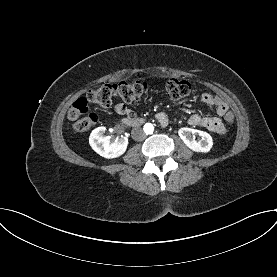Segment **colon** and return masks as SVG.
<instances>
[{"label":"colon","instance_id":"colon-1","mask_svg":"<svg viewBox=\"0 0 277 277\" xmlns=\"http://www.w3.org/2000/svg\"><path fill=\"white\" fill-rule=\"evenodd\" d=\"M148 89L149 85L144 81L119 82L93 88L85 97H81L73 103L68 111V119L74 122L73 127L76 131H87L97 122V115L88 110L89 103L107 108L115 99L133 102L142 98ZM190 90V83L185 80L170 79L166 83V91L173 100L184 98L190 93ZM223 120L229 124H234L235 115L232 112H226L223 115Z\"/></svg>","mask_w":277,"mask_h":277}]
</instances>
